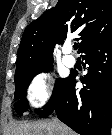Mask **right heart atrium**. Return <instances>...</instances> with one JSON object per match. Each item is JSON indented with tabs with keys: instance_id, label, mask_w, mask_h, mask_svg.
I'll list each match as a JSON object with an SVG mask.
<instances>
[{
	"instance_id": "obj_1",
	"label": "right heart atrium",
	"mask_w": 112,
	"mask_h": 135,
	"mask_svg": "<svg viewBox=\"0 0 112 135\" xmlns=\"http://www.w3.org/2000/svg\"><path fill=\"white\" fill-rule=\"evenodd\" d=\"M52 81L49 75L40 73L32 78L27 89L26 97L34 108L45 105L52 96Z\"/></svg>"
}]
</instances>
